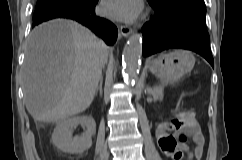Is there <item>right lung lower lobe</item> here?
Listing matches in <instances>:
<instances>
[{"label": "right lung lower lobe", "instance_id": "right-lung-lower-lobe-1", "mask_svg": "<svg viewBox=\"0 0 242 160\" xmlns=\"http://www.w3.org/2000/svg\"><path fill=\"white\" fill-rule=\"evenodd\" d=\"M98 0H87L81 3L54 1L36 7L33 15V27L54 19H73L101 36L108 45L114 44L118 30L110 21L95 15V5Z\"/></svg>", "mask_w": 242, "mask_h": 160}]
</instances>
